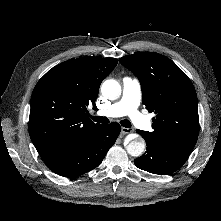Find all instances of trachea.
Returning a JSON list of instances; mask_svg holds the SVG:
<instances>
[{
    "label": "trachea",
    "instance_id": "1",
    "mask_svg": "<svg viewBox=\"0 0 221 221\" xmlns=\"http://www.w3.org/2000/svg\"><path fill=\"white\" fill-rule=\"evenodd\" d=\"M90 117L91 119H93L95 122H98V123H102V124L109 123V119L107 117H100V116H90ZM120 123L123 127H126V128L131 127V122L129 120L124 119Z\"/></svg>",
    "mask_w": 221,
    "mask_h": 221
}]
</instances>
